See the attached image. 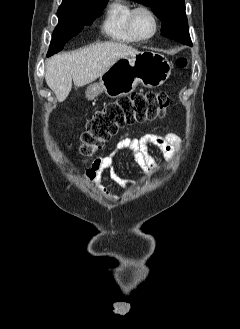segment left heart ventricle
I'll return each instance as SVG.
<instances>
[{
  "instance_id": "b2bd125f",
  "label": "left heart ventricle",
  "mask_w": 240,
  "mask_h": 329,
  "mask_svg": "<svg viewBox=\"0 0 240 329\" xmlns=\"http://www.w3.org/2000/svg\"><path fill=\"white\" fill-rule=\"evenodd\" d=\"M135 26L140 35L148 36L153 31L154 23L147 13L141 12L136 17Z\"/></svg>"
}]
</instances>
